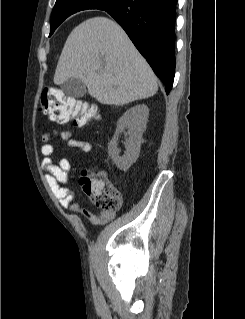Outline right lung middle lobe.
<instances>
[{
  "label": "right lung middle lobe",
  "instance_id": "dd1d6c3e",
  "mask_svg": "<svg viewBox=\"0 0 245 319\" xmlns=\"http://www.w3.org/2000/svg\"><path fill=\"white\" fill-rule=\"evenodd\" d=\"M121 1L122 0H82L72 2L68 0H58L53 8L50 36L68 16L74 13L73 8L75 7H80L81 10L108 9L116 6Z\"/></svg>",
  "mask_w": 245,
  "mask_h": 319
}]
</instances>
